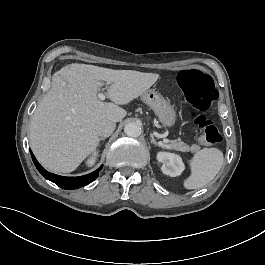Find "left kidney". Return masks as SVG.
<instances>
[{
  "instance_id": "1",
  "label": "left kidney",
  "mask_w": 265,
  "mask_h": 265,
  "mask_svg": "<svg viewBox=\"0 0 265 265\" xmlns=\"http://www.w3.org/2000/svg\"><path fill=\"white\" fill-rule=\"evenodd\" d=\"M157 157L163 164L162 171L164 174L177 176L184 169L181 159L175 154L161 152Z\"/></svg>"
}]
</instances>
